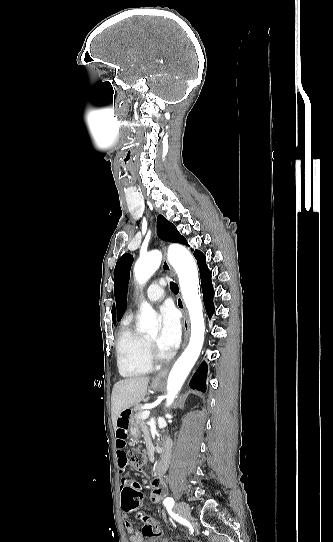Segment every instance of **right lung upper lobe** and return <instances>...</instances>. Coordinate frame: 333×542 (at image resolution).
Here are the masks:
<instances>
[{"mask_svg": "<svg viewBox=\"0 0 333 542\" xmlns=\"http://www.w3.org/2000/svg\"><path fill=\"white\" fill-rule=\"evenodd\" d=\"M112 316H113V322L114 324L116 323V320H115V310H114V306L112 308Z\"/></svg>", "mask_w": 333, "mask_h": 542, "instance_id": "1", "label": "right lung upper lobe"}]
</instances>
